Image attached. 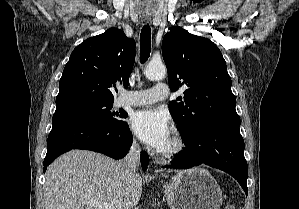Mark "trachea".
I'll return each mask as SVG.
<instances>
[{"label": "trachea", "mask_w": 299, "mask_h": 209, "mask_svg": "<svg viewBox=\"0 0 299 209\" xmlns=\"http://www.w3.org/2000/svg\"><path fill=\"white\" fill-rule=\"evenodd\" d=\"M151 52V28L144 25L140 34V61L144 63L148 60Z\"/></svg>", "instance_id": "obj_1"}]
</instances>
